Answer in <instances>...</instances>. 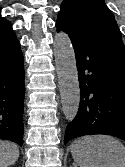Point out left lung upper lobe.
<instances>
[{
    "instance_id": "left-lung-upper-lobe-1",
    "label": "left lung upper lobe",
    "mask_w": 125,
    "mask_h": 167,
    "mask_svg": "<svg viewBox=\"0 0 125 167\" xmlns=\"http://www.w3.org/2000/svg\"><path fill=\"white\" fill-rule=\"evenodd\" d=\"M57 22L71 33L113 31L121 36L114 15L104 0H64Z\"/></svg>"
}]
</instances>
